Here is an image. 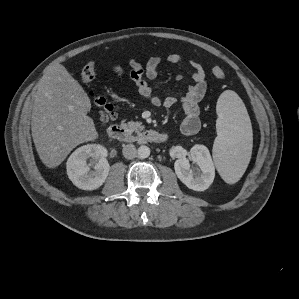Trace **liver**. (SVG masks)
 I'll return each mask as SVG.
<instances>
[{
	"label": "liver",
	"mask_w": 299,
	"mask_h": 299,
	"mask_svg": "<svg viewBox=\"0 0 299 299\" xmlns=\"http://www.w3.org/2000/svg\"><path fill=\"white\" fill-rule=\"evenodd\" d=\"M90 109L87 93L63 65L46 70L31 119L33 142L46 167L56 168L76 146L98 137Z\"/></svg>",
	"instance_id": "6515ba94"
}]
</instances>
